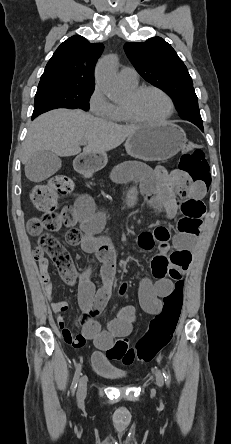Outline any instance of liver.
<instances>
[{"label":"liver","mask_w":231,"mask_h":444,"mask_svg":"<svg viewBox=\"0 0 231 444\" xmlns=\"http://www.w3.org/2000/svg\"><path fill=\"white\" fill-rule=\"evenodd\" d=\"M140 126H123L96 118L82 110L56 109L37 117L22 145V162L37 151H51L67 157L81 153V141H87L83 154H105L121 145Z\"/></svg>","instance_id":"1"}]
</instances>
